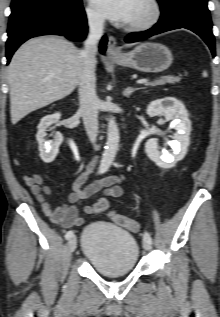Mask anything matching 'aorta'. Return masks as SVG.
<instances>
[{"label": "aorta", "instance_id": "1", "mask_svg": "<svg viewBox=\"0 0 220 317\" xmlns=\"http://www.w3.org/2000/svg\"><path fill=\"white\" fill-rule=\"evenodd\" d=\"M119 129L113 117L109 118L107 128V142L104 147L103 156L100 163V170L106 171L111 166L119 146Z\"/></svg>", "mask_w": 220, "mask_h": 317}]
</instances>
